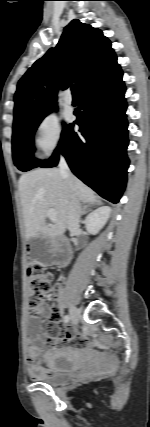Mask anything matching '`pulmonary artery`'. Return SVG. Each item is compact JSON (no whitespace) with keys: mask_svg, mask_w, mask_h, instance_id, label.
Instances as JSON below:
<instances>
[{"mask_svg":"<svg viewBox=\"0 0 150 427\" xmlns=\"http://www.w3.org/2000/svg\"><path fill=\"white\" fill-rule=\"evenodd\" d=\"M64 102L67 105H71L73 103V98H72V95L70 93H66L65 94V96H64Z\"/></svg>","mask_w":150,"mask_h":427,"instance_id":"pulmonary-artery-1","label":"pulmonary artery"}]
</instances>
